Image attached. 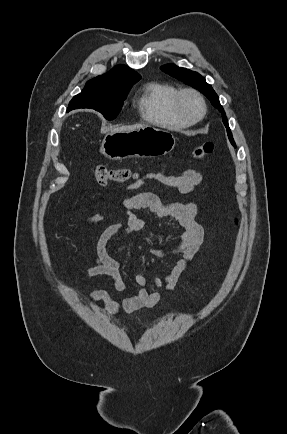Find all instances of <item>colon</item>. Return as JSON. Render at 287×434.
<instances>
[{
    "instance_id": "1",
    "label": "colon",
    "mask_w": 287,
    "mask_h": 434,
    "mask_svg": "<svg viewBox=\"0 0 287 434\" xmlns=\"http://www.w3.org/2000/svg\"><path fill=\"white\" fill-rule=\"evenodd\" d=\"M212 152L213 144L211 142H204L193 150V156L196 159H203ZM95 177L101 185H106L110 181L126 184L136 178V173L127 167L109 168L105 165H98L95 168Z\"/></svg>"
}]
</instances>
